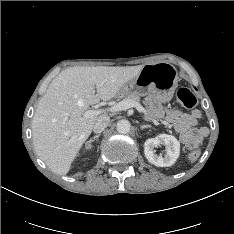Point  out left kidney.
Segmentation results:
<instances>
[{"instance_id":"1","label":"left kidney","mask_w":234,"mask_h":234,"mask_svg":"<svg viewBox=\"0 0 234 234\" xmlns=\"http://www.w3.org/2000/svg\"><path fill=\"white\" fill-rule=\"evenodd\" d=\"M160 144L165 145L167 152L164 157L155 154L154 148ZM144 154L147 160L158 167L172 166L179 157L180 143L172 135L160 134L155 138L147 139L144 143Z\"/></svg>"}]
</instances>
